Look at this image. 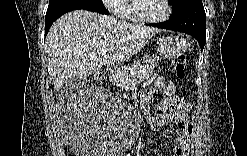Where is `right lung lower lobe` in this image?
Here are the masks:
<instances>
[{"label": "right lung lower lobe", "mask_w": 247, "mask_h": 156, "mask_svg": "<svg viewBox=\"0 0 247 156\" xmlns=\"http://www.w3.org/2000/svg\"><path fill=\"white\" fill-rule=\"evenodd\" d=\"M88 10L92 12H97L100 14H108L109 12L104 7V5H82V6H76V5H63L57 8H54L53 10H49L46 13V23H45V36L47 35L51 25L54 21H56L60 16L63 14L73 11V10Z\"/></svg>", "instance_id": "1"}]
</instances>
